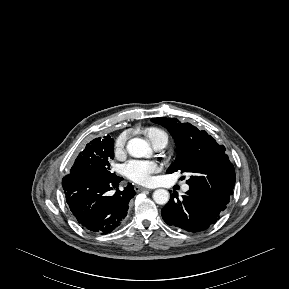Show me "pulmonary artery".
Masks as SVG:
<instances>
[{"mask_svg":"<svg viewBox=\"0 0 289 289\" xmlns=\"http://www.w3.org/2000/svg\"><path fill=\"white\" fill-rule=\"evenodd\" d=\"M167 141H168V139L165 138V137H158V138H156L155 140H153V141L151 142V144H152L153 148H154L156 151H160V150H162V149L167 145ZM182 190H183L184 192L188 191V190H189V186H188L187 184H184V185L182 186Z\"/></svg>","mask_w":289,"mask_h":289,"instance_id":"1","label":"pulmonary artery"}]
</instances>
